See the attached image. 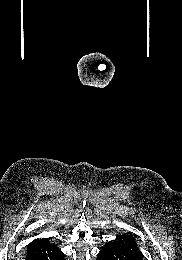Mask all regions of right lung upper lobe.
<instances>
[{"label": "right lung upper lobe", "instance_id": "right-lung-upper-lobe-1", "mask_svg": "<svg viewBox=\"0 0 182 260\" xmlns=\"http://www.w3.org/2000/svg\"><path fill=\"white\" fill-rule=\"evenodd\" d=\"M44 241H48V240H46V239H38V240L33 241L31 244H35V243H39V242H44Z\"/></svg>", "mask_w": 182, "mask_h": 260}]
</instances>
